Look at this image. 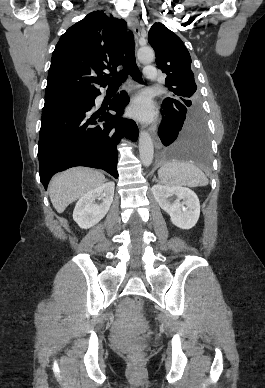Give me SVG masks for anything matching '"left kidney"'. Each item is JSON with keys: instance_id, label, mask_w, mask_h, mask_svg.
<instances>
[{"instance_id": "5707ae66", "label": "left kidney", "mask_w": 265, "mask_h": 388, "mask_svg": "<svg viewBox=\"0 0 265 388\" xmlns=\"http://www.w3.org/2000/svg\"><path fill=\"white\" fill-rule=\"evenodd\" d=\"M151 192L160 208L169 214L174 226L182 228V230H190L197 224L200 216V204L192 190L181 188V186L169 188V186L156 184V186H152Z\"/></svg>"}]
</instances>
